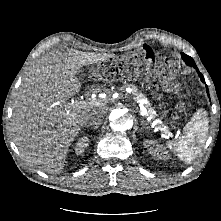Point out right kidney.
<instances>
[{
	"label": "right kidney",
	"mask_w": 221,
	"mask_h": 221,
	"mask_svg": "<svg viewBox=\"0 0 221 221\" xmlns=\"http://www.w3.org/2000/svg\"><path fill=\"white\" fill-rule=\"evenodd\" d=\"M89 145V140L87 137H82L78 140L75 145V152L77 155H80L84 152L85 148Z\"/></svg>",
	"instance_id": "right-kidney-1"
}]
</instances>
